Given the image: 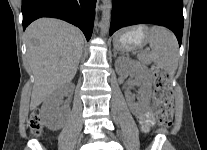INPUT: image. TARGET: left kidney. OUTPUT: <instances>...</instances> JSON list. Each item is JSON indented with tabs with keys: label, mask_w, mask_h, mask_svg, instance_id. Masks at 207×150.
Masks as SVG:
<instances>
[{
	"label": "left kidney",
	"mask_w": 207,
	"mask_h": 150,
	"mask_svg": "<svg viewBox=\"0 0 207 150\" xmlns=\"http://www.w3.org/2000/svg\"><path fill=\"white\" fill-rule=\"evenodd\" d=\"M116 70L122 75L133 74L141 83L140 100L134 102L130 93L126 94L129 107L133 114L140 115L144 113L151 100L152 77L148 68L134 60L126 57H120L115 62Z\"/></svg>",
	"instance_id": "5707ae66"
}]
</instances>
